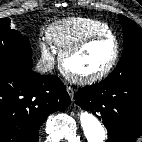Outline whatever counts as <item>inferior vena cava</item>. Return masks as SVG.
I'll return each mask as SVG.
<instances>
[{"label":"inferior vena cava","instance_id":"obj_1","mask_svg":"<svg viewBox=\"0 0 142 142\" xmlns=\"http://www.w3.org/2000/svg\"><path fill=\"white\" fill-rule=\"evenodd\" d=\"M54 64H55L54 60L50 58L47 60H40L36 65V69L40 73H46L54 68Z\"/></svg>","mask_w":142,"mask_h":142}]
</instances>
